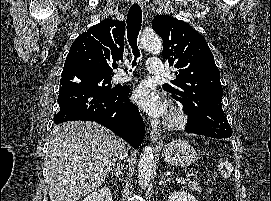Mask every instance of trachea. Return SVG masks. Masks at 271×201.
<instances>
[{"label":"trachea","mask_w":271,"mask_h":201,"mask_svg":"<svg viewBox=\"0 0 271 201\" xmlns=\"http://www.w3.org/2000/svg\"><path fill=\"white\" fill-rule=\"evenodd\" d=\"M141 23H142L141 7L138 4H133L130 7L127 15V38L134 55L132 66H136V60L138 57H140V52L137 46V37L141 29Z\"/></svg>","instance_id":"trachea-1"}]
</instances>
